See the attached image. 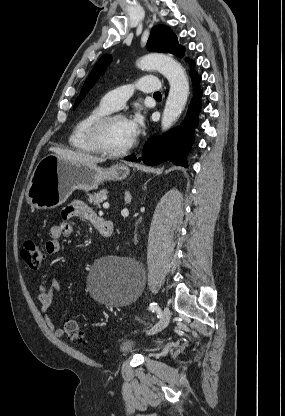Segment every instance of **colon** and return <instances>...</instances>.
<instances>
[{
    "mask_svg": "<svg viewBox=\"0 0 285 416\" xmlns=\"http://www.w3.org/2000/svg\"><path fill=\"white\" fill-rule=\"evenodd\" d=\"M21 257L32 270H37L41 266L45 254L43 249L32 240L24 242L21 249ZM65 336L67 339L79 346L86 344L85 338L80 331L79 325L76 320L68 319L64 325Z\"/></svg>",
    "mask_w": 285,
    "mask_h": 416,
    "instance_id": "obj_1",
    "label": "colon"
}]
</instances>
